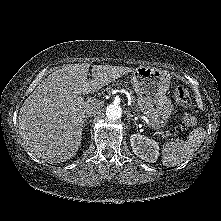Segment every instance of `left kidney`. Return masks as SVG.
Segmentation results:
<instances>
[{
    "label": "left kidney",
    "instance_id": "obj_1",
    "mask_svg": "<svg viewBox=\"0 0 221 221\" xmlns=\"http://www.w3.org/2000/svg\"><path fill=\"white\" fill-rule=\"evenodd\" d=\"M130 143L135 155L140 159L149 163L157 161L159 156V145L148 137L140 134H132L130 136Z\"/></svg>",
    "mask_w": 221,
    "mask_h": 221
}]
</instances>
